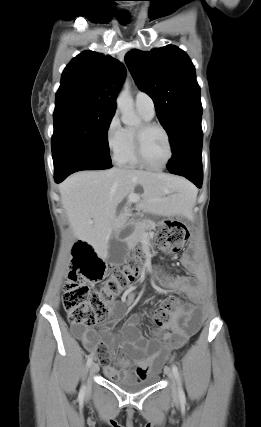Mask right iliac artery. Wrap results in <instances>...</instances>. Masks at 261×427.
Wrapping results in <instances>:
<instances>
[{"label":"right iliac artery","instance_id":"right-iliac-artery-1","mask_svg":"<svg viewBox=\"0 0 261 427\" xmlns=\"http://www.w3.org/2000/svg\"><path fill=\"white\" fill-rule=\"evenodd\" d=\"M91 364H92V356H91V355H89V356H88V359H87V363H86V365H87V367H90V366H91ZM84 394H85V386L83 385V386L81 387V389H80L79 396L82 398V397L84 396Z\"/></svg>","mask_w":261,"mask_h":427}]
</instances>
